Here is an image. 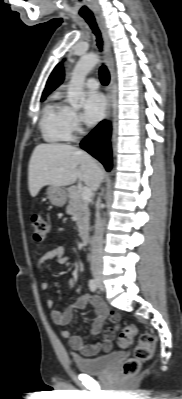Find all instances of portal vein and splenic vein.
I'll return each instance as SVG.
<instances>
[{"label":"portal vein and splenic vein","instance_id":"portal-vein-and-splenic-vein-1","mask_svg":"<svg viewBox=\"0 0 182 399\" xmlns=\"http://www.w3.org/2000/svg\"><path fill=\"white\" fill-rule=\"evenodd\" d=\"M92 196V191H91V189L90 188H88V187H83L82 189H81V197H82V199L83 200H89L90 199V197Z\"/></svg>","mask_w":182,"mask_h":399}]
</instances>
